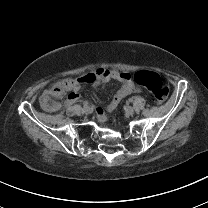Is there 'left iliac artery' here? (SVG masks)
Segmentation results:
<instances>
[{"label":"left iliac artery","instance_id":"obj_1","mask_svg":"<svg viewBox=\"0 0 208 208\" xmlns=\"http://www.w3.org/2000/svg\"><path fill=\"white\" fill-rule=\"evenodd\" d=\"M128 101H129V102H133V98H129Z\"/></svg>","mask_w":208,"mask_h":208}]
</instances>
